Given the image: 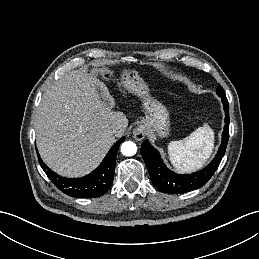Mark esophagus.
Wrapping results in <instances>:
<instances>
[{
  "label": "esophagus",
  "instance_id": "esophagus-1",
  "mask_svg": "<svg viewBox=\"0 0 259 259\" xmlns=\"http://www.w3.org/2000/svg\"><path fill=\"white\" fill-rule=\"evenodd\" d=\"M146 136V127L143 124H140L138 126H136V128H134L133 130V137L137 140V141H141L145 138Z\"/></svg>",
  "mask_w": 259,
  "mask_h": 259
}]
</instances>
